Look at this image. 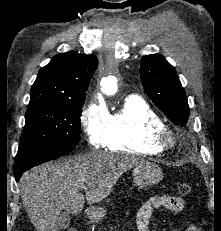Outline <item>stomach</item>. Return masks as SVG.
<instances>
[{"mask_svg": "<svg viewBox=\"0 0 221 231\" xmlns=\"http://www.w3.org/2000/svg\"><path fill=\"white\" fill-rule=\"evenodd\" d=\"M132 177L136 185L146 187L158 183L162 179L163 173L157 164L142 161L134 166ZM106 212L104 207H94L89 211L88 217L93 222H100L105 218Z\"/></svg>", "mask_w": 221, "mask_h": 231, "instance_id": "stomach-1", "label": "stomach"}]
</instances>
